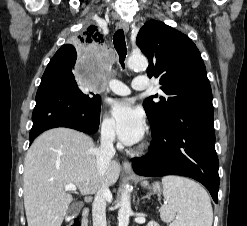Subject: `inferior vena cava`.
<instances>
[{
	"mask_svg": "<svg viewBox=\"0 0 247 226\" xmlns=\"http://www.w3.org/2000/svg\"><path fill=\"white\" fill-rule=\"evenodd\" d=\"M115 131L111 125L103 126L101 129V145L95 150L97 169L100 176H103L115 155L113 141ZM111 192L104 184L97 191L92 205L93 226H107L106 223V199Z\"/></svg>",
	"mask_w": 247,
	"mask_h": 226,
	"instance_id": "obj_1",
	"label": "inferior vena cava"
}]
</instances>
